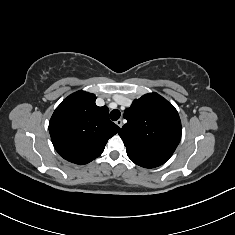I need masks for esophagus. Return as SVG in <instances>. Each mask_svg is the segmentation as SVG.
Here are the masks:
<instances>
[{
    "instance_id": "esophagus-1",
    "label": "esophagus",
    "mask_w": 235,
    "mask_h": 235,
    "mask_svg": "<svg viewBox=\"0 0 235 235\" xmlns=\"http://www.w3.org/2000/svg\"><path fill=\"white\" fill-rule=\"evenodd\" d=\"M116 124L121 128V127L123 126V121H122V119H118V120L116 121Z\"/></svg>"
}]
</instances>
